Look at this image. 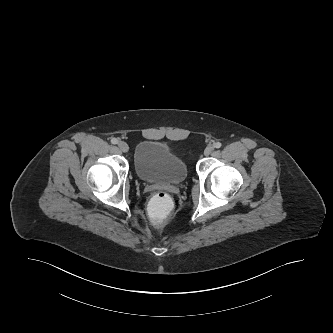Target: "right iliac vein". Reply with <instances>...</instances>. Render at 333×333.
<instances>
[{
  "label": "right iliac vein",
  "mask_w": 333,
  "mask_h": 333,
  "mask_svg": "<svg viewBox=\"0 0 333 333\" xmlns=\"http://www.w3.org/2000/svg\"><path fill=\"white\" fill-rule=\"evenodd\" d=\"M118 148L124 153L128 152V150H129L128 144L126 142H123V141H120L118 143Z\"/></svg>",
  "instance_id": "1"
}]
</instances>
